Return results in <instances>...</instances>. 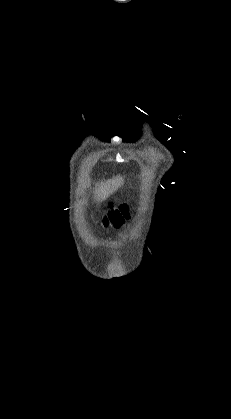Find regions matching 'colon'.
Instances as JSON below:
<instances>
[{
	"label": "colon",
	"instance_id": "1",
	"mask_svg": "<svg viewBox=\"0 0 231 419\" xmlns=\"http://www.w3.org/2000/svg\"><path fill=\"white\" fill-rule=\"evenodd\" d=\"M128 216V211H127V206L126 205H122L121 207H120V211H118V212H115L113 215H112V220L114 221V223L116 224V225H118V223L123 219V218H125V217H127Z\"/></svg>",
	"mask_w": 231,
	"mask_h": 419
}]
</instances>
